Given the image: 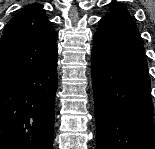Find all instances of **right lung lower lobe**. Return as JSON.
<instances>
[{
	"mask_svg": "<svg viewBox=\"0 0 155 149\" xmlns=\"http://www.w3.org/2000/svg\"><path fill=\"white\" fill-rule=\"evenodd\" d=\"M57 56L0 78V149H52Z\"/></svg>",
	"mask_w": 155,
	"mask_h": 149,
	"instance_id": "98d812e1",
	"label": "right lung lower lobe"
}]
</instances>
